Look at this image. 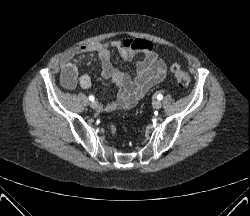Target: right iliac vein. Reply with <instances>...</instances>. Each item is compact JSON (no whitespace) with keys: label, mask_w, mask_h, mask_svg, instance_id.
Returning a JSON list of instances; mask_svg holds the SVG:
<instances>
[{"label":"right iliac vein","mask_w":250,"mask_h":216,"mask_svg":"<svg viewBox=\"0 0 250 216\" xmlns=\"http://www.w3.org/2000/svg\"><path fill=\"white\" fill-rule=\"evenodd\" d=\"M91 108L97 109L98 108V102L97 101H92L90 104Z\"/></svg>","instance_id":"obj_1"}]
</instances>
